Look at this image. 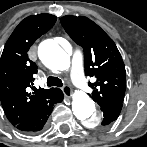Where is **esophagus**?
I'll list each match as a JSON object with an SVG mask.
<instances>
[{"instance_id": "1", "label": "esophagus", "mask_w": 147, "mask_h": 147, "mask_svg": "<svg viewBox=\"0 0 147 147\" xmlns=\"http://www.w3.org/2000/svg\"><path fill=\"white\" fill-rule=\"evenodd\" d=\"M61 89L66 97L70 98L72 96V89L70 86L65 85Z\"/></svg>"}]
</instances>
